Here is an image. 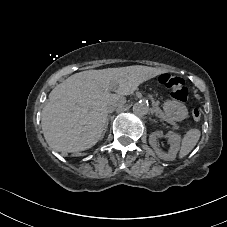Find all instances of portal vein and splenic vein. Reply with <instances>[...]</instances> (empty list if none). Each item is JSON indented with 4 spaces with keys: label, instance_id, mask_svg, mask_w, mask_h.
<instances>
[{
    "label": "portal vein and splenic vein",
    "instance_id": "1",
    "mask_svg": "<svg viewBox=\"0 0 227 227\" xmlns=\"http://www.w3.org/2000/svg\"><path fill=\"white\" fill-rule=\"evenodd\" d=\"M150 96L152 95L151 93L149 94ZM152 100L154 99L153 97L151 98ZM152 103L154 104V109L157 110L158 115L160 116V118L165 121L166 123L171 124L174 128H176L178 125L172 120V119H168L164 113L162 112V109L159 108L158 105H156V102L153 100Z\"/></svg>",
    "mask_w": 227,
    "mask_h": 227
}]
</instances>
